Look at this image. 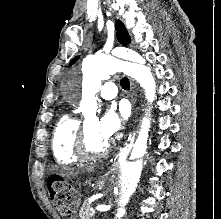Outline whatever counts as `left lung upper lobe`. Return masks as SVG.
<instances>
[{
	"mask_svg": "<svg viewBox=\"0 0 221 219\" xmlns=\"http://www.w3.org/2000/svg\"><path fill=\"white\" fill-rule=\"evenodd\" d=\"M116 30H117V39L118 41L123 44V45H128L130 43V37L128 35V32L125 29V26L122 24L121 21L117 20L116 21ZM79 56H77L76 58H74L70 65L74 64L77 60H78Z\"/></svg>",
	"mask_w": 221,
	"mask_h": 219,
	"instance_id": "5c2ea615",
	"label": "left lung upper lobe"
}]
</instances>
